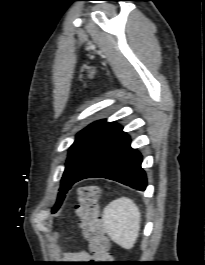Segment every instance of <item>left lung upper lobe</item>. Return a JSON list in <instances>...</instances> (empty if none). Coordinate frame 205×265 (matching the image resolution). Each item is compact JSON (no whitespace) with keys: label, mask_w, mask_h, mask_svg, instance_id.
I'll return each instance as SVG.
<instances>
[{"label":"left lung upper lobe","mask_w":205,"mask_h":265,"mask_svg":"<svg viewBox=\"0 0 205 265\" xmlns=\"http://www.w3.org/2000/svg\"><path fill=\"white\" fill-rule=\"evenodd\" d=\"M122 127L114 122L96 121L83 129L72 144L65 171L61 180L60 193L52 212L62 204L65 193L71 188L74 179L81 171L116 137L122 133Z\"/></svg>","instance_id":"obj_1"}]
</instances>
